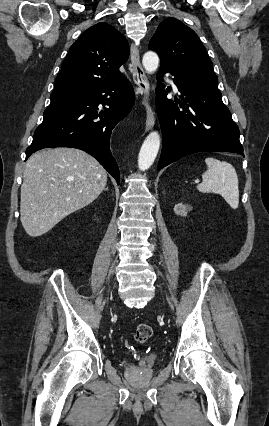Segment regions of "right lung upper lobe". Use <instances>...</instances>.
I'll use <instances>...</instances> for the list:
<instances>
[{"mask_svg":"<svg viewBox=\"0 0 269 426\" xmlns=\"http://www.w3.org/2000/svg\"><path fill=\"white\" fill-rule=\"evenodd\" d=\"M128 56L125 37L113 26L97 23L70 47L53 92H80L116 83L125 77L119 67Z\"/></svg>","mask_w":269,"mask_h":426,"instance_id":"1","label":"right lung upper lobe"}]
</instances>
